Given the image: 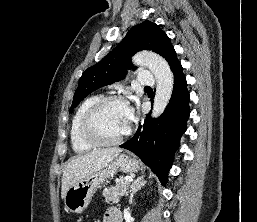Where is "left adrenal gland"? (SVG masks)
I'll list each match as a JSON object with an SVG mask.
<instances>
[{"label":"left adrenal gland","mask_w":257,"mask_h":222,"mask_svg":"<svg viewBox=\"0 0 257 222\" xmlns=\"http://www.w3.org/2000/svg\"><path fill=\"white\" fill-rule=\"evenodd\" d=\"M147 181L144 180V175L141 176V177H138L137 179H135L130 188V197H129V203L130 204H133V197H134V194L141 189V187H143L145 184H146Z\"/></svg>","instance_id":"obj_1"}]
</instances>
